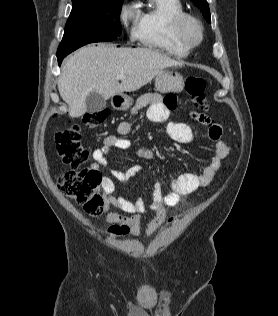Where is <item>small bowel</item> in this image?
I'll return each mask as SVG.
<instances>
[{"instance_id": "small-bowel-1", "label": "small bowel", "mask_w": 278, "mask_h": 316, "mask_svg": "<svg viewBox=\"0 0 278 316\" xmlns=\"http://www.w3.org/2000/svg\"><path fill=\"white\" fill-rule=\"evenodd\" d=\"M177 105L176 97L168 95L165 99L157 93H147L140 96L131 109V116L139 110L147 108V117L153 122L167 121L170 111ZM192 120L208 128V136L213 142V155L209 164L202 168L200 174L183 173L171 181V190L163 194L159 183L155 182L152 186L151 201L149 208L155 212V216L146 223L144 231L146 236H151L166 220L167 207L176 206L180 200L199 188L206 187L213 180L219 171L223 160L229 153V145L223 139V128L207 114L192 111ZM131 131V123L123 121L118 125V135H108L104 139L101 147L95 148L92 152L93 164L91 170L99 172L102 168H108V156L115 149L125 150L132 146L129 139L123 138ZM169 136L180 143L188 144L194 139L192 129L189 125L180 122H169L167 125ZM136 155L144 160L154 158V152L147 147H140ZM142 171L141 166H125L123 170L110 169L112 177L119 181H128L135 178ZM111 176H103L101 185L105 192V202L119 210L118 212H108L105 216L106 222L110 224L107 234L111 236H137L143 229L141 214L146 211L147 205L142 198L129 200L123 196L115 195V184Z\"/></svg>"}]
</instances>
